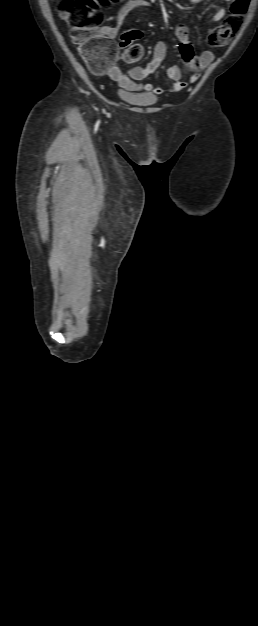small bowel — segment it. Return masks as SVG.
Listing matches in <instances>:
<instances>
[{"mask_svg": "<svg viewBox=\"0 0 258 626\" xmlns=\"http://www.w3.org/2000/svg\"><path fill=\"white\" fill-rule=\"evenodd\" d=\"M201 0H189L190 3L196 4ZM230 1V0H226ZM149 5L148 0H128L118 10L115 17H113L116 25L113 27H107L104 30V34L108 39H114L119 33L118 25L124 20L130 11L137 7ZM226 12L224 8H219L213 15V21H220ZM175 34L179 40V52L184 65L193 72L192 76L198 78V74L204 68H206L215 57L214 52L204 51L201 54H195L193 46L189 40V30L184 24H178L175 29ZM166 44L164 41H159L153 52L152 60L144 67H134L128 74L124 73L116 61L110 62L106 68L105 73L112 80L116 81L122 88L130 91H145L154 94H161L165 91L163 88H155L152 83L146 82L143 84H137V81L144 80L148 75L155 72L166 56ZM167 77L172 81V84L166 89L168 92H179L185 88L186 82L182 79V72L179 67L172 66L166 70Z\"/></svg>", "mask_w": 258, "mask_h": 626, "instance_id": "c3829d8e", "label": "small bowel"}]
</instances>
